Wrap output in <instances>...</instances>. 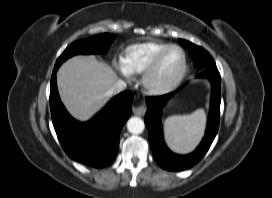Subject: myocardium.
<instances>
[{
	"mask_svg": "<svg viewBox=\"0 0 272 198\" xmlns=\"http://www.w3.org/2000/svg\"><path fill=\"white\" fill-rule=\"evenodd\" d=\"M178 49L183 55V66L180 73L171 81L166 83H160L157 81V74L160 69L161 63L166 54L172 50ZM188 71V57L186 51L179 45H169L158 53L154 58L150 66L144 72L142 78V85L144 90L151 95H163L173 91L183 81Z\"/></svg>",
	"mask_w": 272,
	"mask_h": 198,
	"instance_id": "1",
	"label": "myocardium"
}]
</instances>
